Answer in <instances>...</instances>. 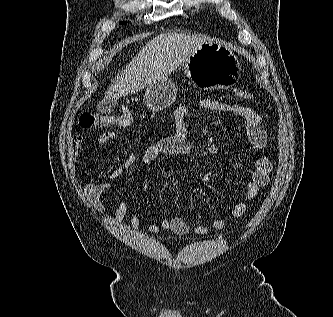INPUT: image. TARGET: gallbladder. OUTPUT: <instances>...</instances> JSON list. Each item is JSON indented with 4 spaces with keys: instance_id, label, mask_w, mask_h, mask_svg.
<instances>
[{
    "instance_id": "gallbladder-1",
    "label": "gallbladder",
    "mask_w": 333,
    "mask_h": 317,
    "mask_svg": "<svg viewBox=\"0 0 333 317\" xmlns=\"http://www.w3.org/2000/svg\"><path fill=\"white\" fill-rule=\"evenodd\" d=\"M116 104V99H104L98 103L97 109L102 115H108L115 109Z\"/></svg>"
}]
</instances>
